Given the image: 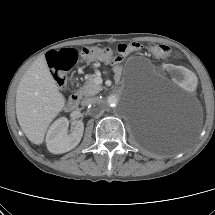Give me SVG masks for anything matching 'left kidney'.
Here are the masks:
<instances>
[{
	"label": "left kidney",
	"instance_id": "left-kidney-1",
	"mask_svg": "<svg viewBox=\"0 0 215 215\" xmlns=\"http://www.w3.org/2000/svg\"><path fill=\"white\" fill-rule=\"evenodd\" d=\"M164 72L183 88H191L195 84V77L185 67H177L173 63H168L164 67Z\"/></svg>",
	"mask_w": 215,
	"mask_h": 215
}]
</instances>
